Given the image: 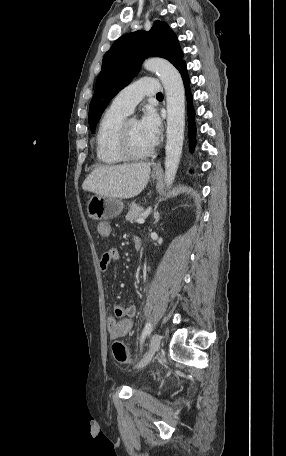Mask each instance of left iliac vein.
Returning a JSON list of instances; mask_svg holds the SVG:
<instances>
[{"label":"left iliac vein","instance_id":"obj_1","mask_svg":"<svg viewBox=\"0 0 286 456\" xmlns=\"http://www.w3.org/2000/svg\"><path fill=\"white\" fill-rule=\"evenodd\" d=\"M160 342L161 338L159 334L155 333L151 338L150 349L148 354L138 363V365L136 366L137 368L144 367L151 361L152 357L160 348Z\"/></svg>","mask_w":286,"mask_h":456}]
</instances>
